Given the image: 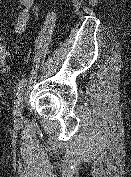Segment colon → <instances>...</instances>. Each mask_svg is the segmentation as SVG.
<instances>
[{
    "label": "colon",
    "mask_w": 131,
    "mask_h": 177,
    "mask_svg": "<svg viewBox=\"0 0 131 177\" xmlns=\"http://www.w3.org/2000/svg\"><path fill=\"white\" fill-rule=\"evenodd\" d=\"M8 56L9 52L7 50L4 42L0 40V70L5 71L8 68Z\"/></svg>",
    "instance_id": "1"
}]
</instances>
